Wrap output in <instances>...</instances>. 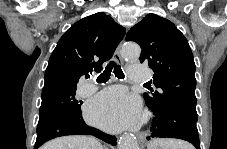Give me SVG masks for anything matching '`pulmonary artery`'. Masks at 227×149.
<instances>
[{
    "instance_id": "obj_1",
    "label": "pulmonary artery",
    "mask_w": 227,
    "mask_h": 149,
    "mask_svg": "<svg viewBox=\"0 0 227 149\" xmlns=\"http://www.w3.org/2000/svg\"><path fill=\"white\" fill-rule=\"evenodd\" d=\"M130 78L132 81L146 82L150 79V70L144 65L131 64L129 66ZM95 89L93 84L85 88V93H91Z\"/></svg>"
}]
</instances>
